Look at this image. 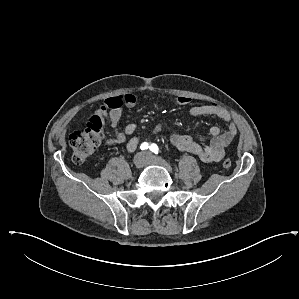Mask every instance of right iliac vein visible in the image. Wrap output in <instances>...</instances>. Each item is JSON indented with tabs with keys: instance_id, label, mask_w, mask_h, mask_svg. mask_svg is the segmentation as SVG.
I'll return each mask as SVG.
<instances>
[{
	"instance_id": "right-iliac-vein-1",
	"label": "right iliac vein",
	"mask_w": 299,
	"mask_h": 299,
	"mask_svg": "<svg viewBox=\"0 0 299 299\" xmlns=\"http://www.w3.org/2000/svg\"><path fill=\"white\" fill-rule=\"evenodd\" d=\"M134 166L137 169H141L146 163V157L143 154H138L134 157Z\"/></svg>"
}]
</instances>
